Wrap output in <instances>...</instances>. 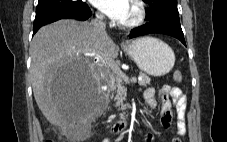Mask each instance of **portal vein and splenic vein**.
I'll use <instances>...</instances> for the list:
<instances>
[{
  "mask_svg": "<svg viewBox=\"0 0 227 142\" xmlns=\"http://www.w3.org/2000/svg\"><path fill=\"white\" fill-rule=\"evenodd\" d=\"M116 74L119 76V78H121L122 80H124V82H126L127 84L135 83L136 82V78L135 77L129 78L126 74H124L121 71H118ZM139 80H141V78H139Z\"/></svg>",
  "mask_w": 227,
  "mask_h": 142,
  "instance_id": "obj_1",
  "label": "portal vein and splenic vein"
}]
</instances>
